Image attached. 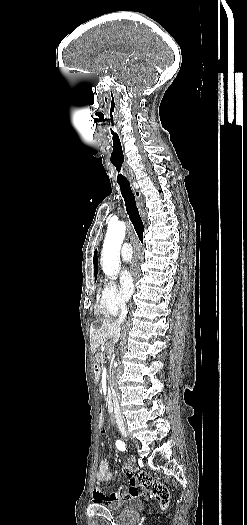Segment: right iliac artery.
Returning <instances> with one entry per match:
<instances>
[{
  "label": "right iliac artery",
  "instance_id": "obj_1",
  "mask_svg": "<svg viewBox=\"0 0 247 525\" xmlns=\"http://www.w3.org/2000/svg\"><path fill=\"white\" fill-rule=\"evenodd\" d=\"M116 447L120 450V451H126V445L123 441L121 440H117L116 441Z\"/></svg>",
  "mask_w": 247,
  "mask_h": 525
}]
</instances>
